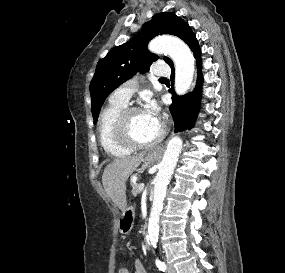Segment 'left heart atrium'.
I'll return each instance as SVG.
<instances>
[{"label": "left heart atrium", "instance_id": "39dd6f15", "mask_svg": "<svg viewBox=\"0 0 285 273\" xmlns=\"http://www.w3.org/2000/svg\"><path fill=\"white\" fill-rule=\"evenodd\" d=\"M143 112L151 119L159 121V107L153 100L146 102Z\"/></svg>", "mask_w": 285, "mask_h": 273}]
</instances>
